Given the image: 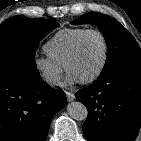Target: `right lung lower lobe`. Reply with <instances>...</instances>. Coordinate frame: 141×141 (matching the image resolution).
<instances>
[{
	"instance_id": "98d812e1",
	"label": "right lung lower lobe",
	"mask_w": 141,
	"mask_h": 141,
	"mask_svg": "<svg viewBox=\"0 0 141 141\" xmlns=\"http://www.w3.org/2000/svg\"><path fill=\"white\" fill-rule=\"evenodd\" d=\"M38 71L0 70V141H45L53 115L66 105Z\"/></svg>"
}]
</instances>
